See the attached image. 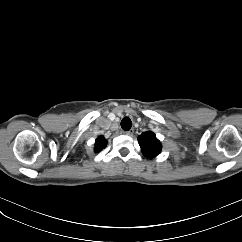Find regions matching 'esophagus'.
<instances>
[{"label": "esophagus", "instance_id": "34e87169", "mask_svg": "<svg viewBox=\"0 0 242 242\" xmlns=\"http://www.w3.org/2000/svg\"><path fill=\"white\" fill-rule=\"evenodd\" d=\"M125 133L128 136H132L134 134V129H130V130L126 131Z\"/></svg>", "mask_w": 242, "mask_h": 242}]
</instances>
